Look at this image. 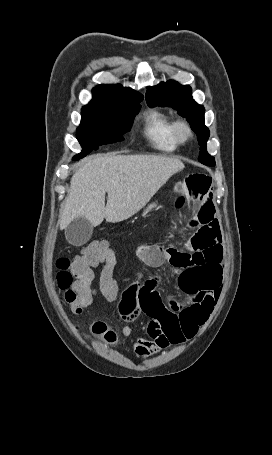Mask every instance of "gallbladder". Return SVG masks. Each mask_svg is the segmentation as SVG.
I'll return each mask as SVG.
<instances>
[{"mask_svg": "<svg viewBox=\"0 0 272 455\" xmlns=\"http://www.w3.org/2000/svg\"><path fill=\"white\" fill-rule=\"evenodd\" d=\"M93 233V226L84 217H77L65 228L66 240L75 246L85 244Z\"/></svg>", "mask_w": 272, "mask_h": 455, "instance_id": "bac80fb5", "label": "gallbladder"}]
</instances>
